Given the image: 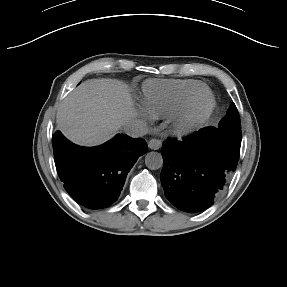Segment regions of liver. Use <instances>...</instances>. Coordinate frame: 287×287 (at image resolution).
Instances as JSON below:
<instances>
[{
	"label": "liver",
	"instance_id": "obj_1",
	"mask_svg": "<svg viewBox=\"0 0 287 287\" xmlns=\"http://www.w3.org/2000/svg\"><path fill=\"white\" fill-rule=\"evenodd\" d=\"M136 115L126 85L116 79H90L64 99L56 124L72 142L97 146L111 139Z\"/></svg>",
	"mask_w": 287,
	"mask_h": 287
}]
</instances>
